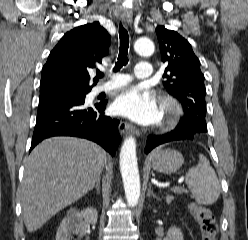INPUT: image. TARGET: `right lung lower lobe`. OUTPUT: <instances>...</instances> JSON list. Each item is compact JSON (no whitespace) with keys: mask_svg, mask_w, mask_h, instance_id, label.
<instances>
[{"mask_svg":"<svg viewBox=\"0 0 248 240\" xmlns=\"http://www.w3.org/2000/svg\"><path fill=\"white\" fill-rule=\"evenodd\" d=\"M84 98L62 97L39 101L30 151L52 136H75L92 140L114 155L120 135L117 119L104 115L107 101L84 106Z\"/></svg>","mask_w":248,"mask_h":240,"instance_id":"1","label":"right lung lower lobe"}]
</instances>
